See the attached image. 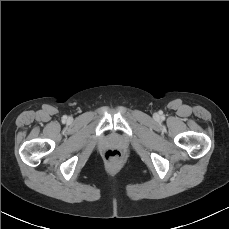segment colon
Wrapping results in <instances>:
<instances>
[{
	"label": "colon",
	"instance_id": "1",
	"mask_svg": "<svg viewBox=\"0 0 229 229\" xmlns=\"http://www.w3.org/2000/svg\"><path fill=\"white\" fill-rule=\"evenodd\" d=\"M105 159L109 164H117L122 160V154L119 150L110 149L105 153Z\"/></svg>",
	"mask_w": 229,
	"mask_h": 229
}]
</instances>
